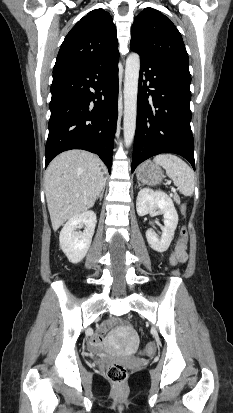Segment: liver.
Listing matches in <instances>:
<instances>
[{"label":"liver","instance_id":"6515ba94","mask_svg":"<svg viewBox=\"0 0 233 413\" xmlns=\"http://www.w3.org/2000/svg\"><path fill=\"white\" fill-rule=\"evenodd\" d=\"M106 167L84 150L59 154L45 172V195L52 228L91 208L105 187Z\"/></svg>","mask_w":233,"mask_h":413}]
</instances>
